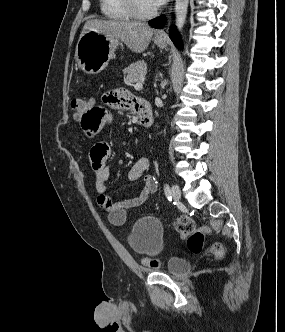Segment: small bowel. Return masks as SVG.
Returning <instances> with one entry per match:
<instances>
[{
	"mask_svg": "<svg viewBox=\"0 0 285 332\" xmlns=\"http://www.w3.org/2000/svg\"><path fill=\"white\" fill-rule=\"evenodd\" d=\"M107 106H90L89 111H83L77 120L83 126V133L94 136L96 133H104V126H110L113 109L129 110L138 113L137 99L129 95L123 89H116L104 95ZM111 155V147L105 142L95 143L90 150V160L95 172V190L98 194L99 206L108 214V219L114 226L125 223L127 212L130 209L143 205L156 191L157 183L153 176L146 175L142 185L135 196L129 199L114 201L108 195V181L110 169L107 160ZM150 160L146 156L140 157L129 170L130 181H137L149 168Z\"/></svg>",
	"mask_w": 285,
	"mask_h": 332,
	"instance_id": "small-bowel-1",
	"label": "small bowel"
}]
</instances>
